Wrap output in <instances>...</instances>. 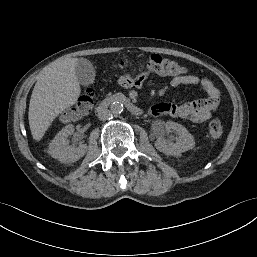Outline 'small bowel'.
<instances>
[{
  "mask_svg": "<svg viewBox=\"0 0 257 257\" xmlns=\"http://www.w3.org/2000/svg\"><path fill=\"white\" fill-rule=\"evenodd\" d=\"M157 78V69L152 64L130 66L118 71L116 82L123 89L141 88L146 83H152ZM170 85L179 88L184 85L196 86L206 94L204 99L194 100L183 104L160 103L151 107L150 114L154 116L168 115L190 120L205 122L216 112L219 106L220 94L214 83L207 78L193 74H179L172 77Z\"/></svg>",
  "mask_w": 257,
  "mask_h": 257,
  "instance_id": "small-bowel-1",
  "label": "small bowel"
}]
</instances>
